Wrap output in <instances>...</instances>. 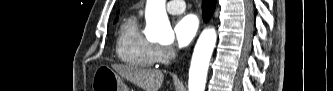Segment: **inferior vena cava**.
I'll use <instances>...</instances> for the list:
<instances>
[{
  "label": "inferior vena cava",
  "instance_id": "602c4592",
  "mask_svg": "<svg viewBox=\"0 0 333 91\" xmlns=\"http://www.w3.org/2000/svg\"><path fill=\"white\" fill-rule=\"evenodd\" d=\"M176 58V53H175V50L172 49V59L174 60Z\"/></svg>",
  "mask_w": 333,
  "mask_h": 91
}]
</instances>
